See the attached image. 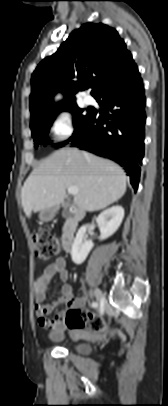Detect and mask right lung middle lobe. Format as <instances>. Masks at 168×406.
<instances>
[{
    "mask_svg": "<svg viewBox=\"0 0 168 406\" xmlns=\"http://www.w3.org/2000/svg\"><path fill=\"white\" fill-rule=\"evenodd\" d=\"M63 110L70 111L73 116H74V126H75V131L73 133V136L67 140L66 142L59 143L55 147L59 148L65 145L68 141H70L88 122L89 118L92 115V110H87V114H82L83 109H80L77 107L76 104L71 105ZM58 113V112H57ZM57 113H54L50 116H47L37 122H34L31 124V130H32V136L35 141V147H38V144L42 145H47L48 144V139H47V134L49 131L50 126L52 125V122L54 118L56 117ZM40 142V143H39Z\"/></svg>",
    "mask_w": 168,
    "mask_h": 406,
    "instance_id": "right-lung-middle-lobe-1",
    "label": "right lung middle lobe"
}]
</instances>
